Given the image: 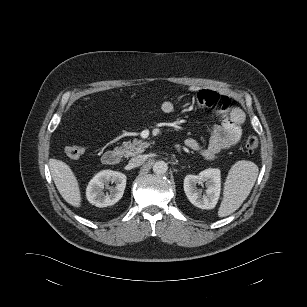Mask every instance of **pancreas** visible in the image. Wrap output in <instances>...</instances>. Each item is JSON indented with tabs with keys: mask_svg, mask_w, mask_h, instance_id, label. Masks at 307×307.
Returning a JSON list of instances; mask_svg holds the SVG:
<instances>
[{
	"mask_svg": "<svg viewBox=\"0 0 307 307\" xmlns=\"http://www.w3.org/2000/svg\"><path fill=\"white\" fill-rule=\"evenodd\" d=\"M149 145L150 143L147 141L134 139L133 141L124 142L123 146L120 147L119 150L126 158H128L144 152Z\"/></svg>",
	"mask_w": 307,
	"mask_h": 307,
	"instance_id": "obj_1",
	"label": "pancreas"
}]
</instances>
